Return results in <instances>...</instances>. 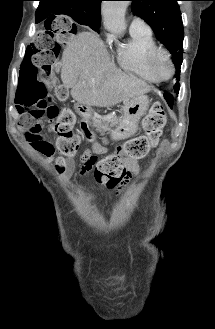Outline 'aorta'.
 <instances>
[{
    "label": "aorta",
    "instance_id": "obj_1",
    "mask_svg": "<svg viewBox=\"0 0 215 329\" xmlns=\"http://www.w3.org/2000/svg\"><path fill=\"white\" fill-rule=\"evenodd\" d=\"M126 7L127 1H104L102 4L104 26L115 35H122L126 29Z\"/></svg>",
    "mask_w": 215,
    "mask_h": 329
}]
</instances>
